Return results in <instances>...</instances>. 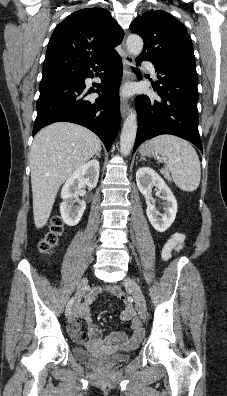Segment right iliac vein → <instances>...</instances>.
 <instances>
[{
  "label": "right iliac vein",
  "mask_w": 227,
  "mask_h": 396,
  "mask_svg": "<svg viewBox=\"0 0 227 396\" xmlns=\"http://www.w3.org/2000/svg\"><path fill=\"white\" fill-rule=\"evenodd\" d=\"M87 283H88V280L86 278H83L77 286L76 300H75L73 307L69 314V322H71L78 314L79 304H80L82 296L85 293Z\"/></svg>",
  "instance_id": "right-iliac-vein-1"
}]
</instances>
